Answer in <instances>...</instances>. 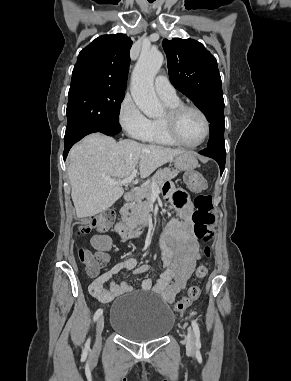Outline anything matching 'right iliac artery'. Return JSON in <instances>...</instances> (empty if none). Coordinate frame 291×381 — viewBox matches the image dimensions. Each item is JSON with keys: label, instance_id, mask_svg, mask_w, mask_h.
Here are the masks:
<instances>
[{"label": "right iliac artery", "instance_id": "right-iliac-artery-1", "mask_svg": "<svg viewBox=\"0 0 291 381\" xmlns=\"http://www.w3.org/2000/svg\"><path fill=\"white\" fill-rule=\"evenodd\" d=\"M102 313H103V310H102L101 308L98 309V310L95 312V314H94V317H93L94 321H96V320L102 315ZM89 343H90V341L88 340L87 343H86V347L89 346Z\"/></svg>", "mask_w": 291, "mask_h": 381}]
</instances>
